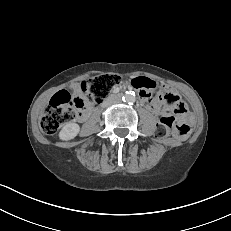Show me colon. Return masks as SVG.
<instances>
[{
    "mask_svg": "<svg viewBox=\"0 0 231 231\" xmlns=\"http://www.w3.org/2000/svg\"><path fill=\"white\" fill-rule=\"evenodd\" d=\"M121 80L117 74H104L86 79L79 85L81 94L73 98L68 92L59 91L53 96L40 119L41 130L46 134L55 133L61 125L72 121L79 111L104 101ZM131 85L146 96L153 89L154 82L148 78L139 77L132 80ZM162 97L169 105L176 104V106L174 115H165L160 119L156 128L157 137L165 138L170 134L179 138L187 137L191 132V126L187 121L186 107L168 93H164Z\"/></svg>",
    "mask_w": 231,
    "mask_h": 231,
    "instance_id": "colon-1",
    "label": "colon"
}]
</instances>
